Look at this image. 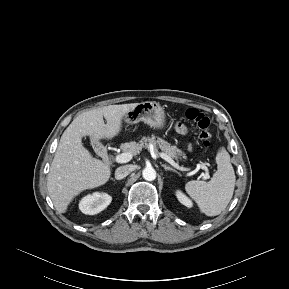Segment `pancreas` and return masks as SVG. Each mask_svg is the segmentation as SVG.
Returning <instances> with one entry per match:
<instances>
[{
  "mask_svg": "<svg viewBox=\"0 0 289 289\" xmlns=\"http://www.w3.org/2000/svg\"><path fill=\"white\" fill-rule=\"evenodd\" d=\"M149 145H153L154 151L158 153V149L162 151V153H165L166 155L172 157V158H178L179 156H183V152L177 148L176 146H171L170 143L165 141L162 138H157L155 135H152L151 137H142L139 142H128L121 144L120 148L123 152H128L132 155H136L139 153L142 148L148 147Z\"/></svg>",
  "mask_w": 289,
  "mask_h": 289,
  "instance_id": "obj_1",
  "label": "pancreas"
}]
</instances>
